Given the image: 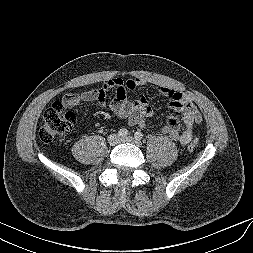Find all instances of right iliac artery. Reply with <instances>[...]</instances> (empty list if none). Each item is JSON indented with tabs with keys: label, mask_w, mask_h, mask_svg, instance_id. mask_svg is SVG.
Segmentation results:
<instances>
[{
	"label": "right iliac artery",
	"mask_w": 253,
	"mask_h": 253,
	"mask_svg": "<svg viewBox=\"0 0 253 253\" xmlns=\"http://www.w3.org/2000/svg\"><path fill=\"white\" fill-rule=\"evenodd\" d=\"M118 134H119V136H121V137H125V136L128 135V130L125 129V128H122V129H120V130L118 131Z\"/></svg>",
	"instance_id": "right-iliac-artery-1"
}]
</instances>
